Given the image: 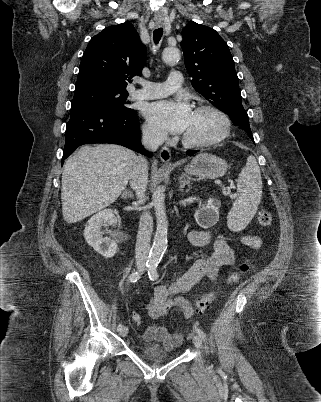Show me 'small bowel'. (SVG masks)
I'll return each instance as SVG.
<instances>
[{"label": "small bowel", "instance_id": "obj_1", "mask_svg": "<svg viewBox=\"0 0 321 402\" xmlns=\"http://www.w3.org/2000/svg\"><path fill=\"white\" fill-rule=\"evenodd\" d=\"M187 235L189 241L195 246L212 243L213 251L196 259L189 269L171 284L154 287L153 298L147 308L151 319L159 320L172 309L179 311L185 318L191 317L193 309L190 301L181 294L190 290L203 278L215 281L220 268L232 265L235 261L234 251L224 237H213L209 231L195 229L190 230ZM241 242L255 250L260 249L262 244L259 237L251 234L242 236ZM238 280V277L231 278L232 282ZM143 338L147 342L157 341L165 348L172 349L182 343L183 334L181 332L169 333L162 325H151L145 329Z\"/></svg>", "mask_w": 321, "mask_h": 402}]
</instances>
